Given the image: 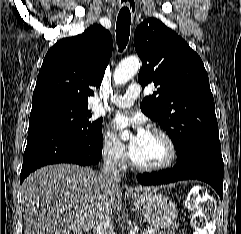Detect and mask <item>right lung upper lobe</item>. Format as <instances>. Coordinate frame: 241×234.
Masks as SVG:
<instances>
[{
  "instance_id": "obj_1",
  "label": "right lung upper lobe",
  "mask_w": 241,
  "mask_h": 234,
  "mask_svg": "<svg viewBox=\"0 0 241 234\" xmlns=\"http://www.w3.org/2000/svg\"><path fill=\"white\" fill-rule=\"evenodd\" d=\"M112 36L101 25L58 41L47 52L33 92V105L63 101L87 104L100 86L112 54Z\"/></svg>"
}]
</instances>
